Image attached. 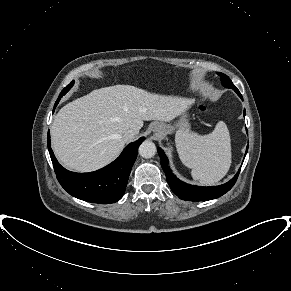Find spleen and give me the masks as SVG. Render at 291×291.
<instances>
[{
  "label": "spleen",
  "instance_id": "obj_1",
  "mask_svg": "<svg viewBox=\"0 0 291 291\" xmlns=\"http://www.w3.org/2000/svg\"><path fill=\"white\" fill-rule=\"evenodd\" d=\"M175 142L180 160L192 170L193 179L201 184H215L229 171L232 163L231 139L223 121L217 123L212 133L204 136L179 131Z\"/></svg>",
  "mask_w": 291,
  "mask_h": 291
}]
</instances>
